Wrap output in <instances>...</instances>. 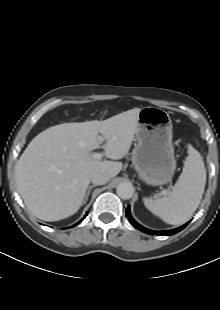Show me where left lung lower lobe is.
Returning a JSON list of instances; mask_svg holds the SVG:
<instances>
[{
	"label": "left lung lower lobe",
	"instance_id": "0a47b994",
	"mask_svg": "<svg viewBox=\"0 0 220 310\" xmlns=\"http://www.w3.org/2000/svg\"><path fill=\"white\" fill-rule=\"evenodd\" d=\"M126 216L129 218L128 220L130 221V223H131L134 227H136L137 229H139V230H141V231H143V232H145V233H147V234H150V235H154L155 233H156L157 235H166V236L174 235V234L180 232L182 229H184V228L188 225V223H189V222H188V223H186L185 225H183V226H181V227H179V228H176V229L167 230V231H156V232H155V231H153V230L147 229V228L141 226L140 224H138V223L133 219V217H132L131 214H130V207H128V208L126 209Z\"/></svg>",
	"mask_w": 220,
	"mask_h": 310
}]
</instances>
